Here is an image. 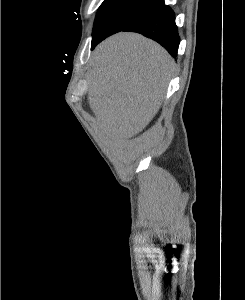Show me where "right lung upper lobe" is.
Instances as JSON below:
<instances>
[{"label": "right lung upper lobe", "mask_w": 245, "mask_h": 300, "mask_svg": "<svg viewBox=\"0 0 245 300\" xmlns=\"http://www.w3.org/2000/svg\"><path fill=\"white\" fill-rule=\"evenodd\" d=\"M140 1H145V2H150V1H159V2H162V3H164V0H140Z\"/></svg>", "instance_id": "1"}]
</instances>
